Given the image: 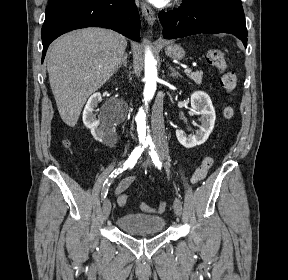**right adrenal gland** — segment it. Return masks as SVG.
<instances>
[{
  "mask_svg": "<svg viewBox=\"0 0 288 280\" xmlns=\"http://www.w3.org/2000/svg\"><path fill=\"white\" fill-rule=\"evenodd\" d=\"M122 65H124V67H127V54L124 53L121 62L119 63L115 73H117V71L122 67Z\"/></svg>",
  "mask_w": 288,
  "mask_h": 280,
  "instance_id": "1",
  "label": "right adrenal gland"
}]
</instances>
